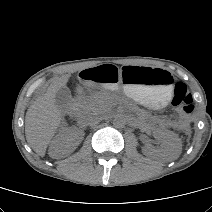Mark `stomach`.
Listing matches in <instances>:
<instances>
[{
    "label": "stomach",
    "instance_id": "0dacf381",
    "mask_svg": "<svg viewBox=\"0 0 212 212\" xmlns=\"http://www.w3.org/2000/svg\"><path fill=\"white\" fill-rule=\"evenodd\" d=\"M84 82L99 83L158 109L163 107L171 97L173 78L163 69L151 66L128 67L127 65L105 64L95 68L84 67L80 71Z\"/></svg>",
    "mask_w": 212,
    "mask_h": 212
}]
</instances>
